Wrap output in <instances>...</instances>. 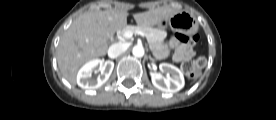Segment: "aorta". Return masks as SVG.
Returning <instances> with one entry per match:
<instances>
[{
	"label": "aorta",
	"instance_id": "762f6f07",
	"mask_svg": "<svg viewBox=\"0 0 276 120\" xmlns=\"http://www.w3.org/2000/svg\"><path fill=\"white\" fill-rule=\"evenodd\" d=\"M144 48L142 45H136L133 47L132 49V54L135 56V57H138V58H141L144 56Z\"/></svg>",
	"mask_w": 276,
	"mask_h": 120
}]
</instances>
